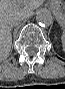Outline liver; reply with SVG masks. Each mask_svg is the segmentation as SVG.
<instances>
[{"label":"liver","instance_id":"obj_1","mask_svg":"<svg viewBox=\"0 0 65 89\" xmlns=\"http://www.w3.org/2000/svg\"><path fill=\"white\" fill-rule=\"evenodd\" d=\"M42 0H1L0 1V57L6 58L12 45V22L16 18L28 17Z\"/></svg>","mask_w":65,"mask_h":89}]
</instances>
